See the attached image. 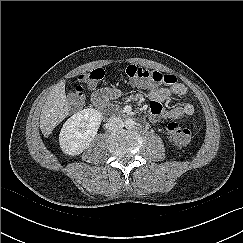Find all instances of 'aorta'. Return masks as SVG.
<instances>
[{
	"mask_svg": "<svg viewBox=\"0 0 243 243\" xmlns=\"http://www.w3.org/2000/svg\"><path fill=\"white\" fill-rule=\"evenodd\" d=\"M124 125L126 129H133L136 125V122L133 119L129 118L125 120Z\"/></svg>",
	"mask_w": 243,
	"mask_h": 243,
	"instance_id": "aorta-1",
	"label": "aorta"
}]
</instances>
